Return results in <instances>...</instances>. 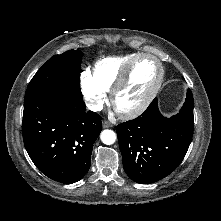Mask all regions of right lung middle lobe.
Segmentation results:
<instances>
[{"instance_id": "obj_1", "label": "right lung middle lobe", "mask_w": 221, "mask_h": 221, "mask_svg": "<svg viewBox=\"0 0 221 221\" xmlns=\"http://www.w3.org/2000/svg\"><path fill=\"white\" fill-rule=\"evenodd\" d=\"M83 53L69 50L51 57L30 81L24 103L49 91L62 90L82 98L80 68Z\"/></svg>"}]
</instances>
